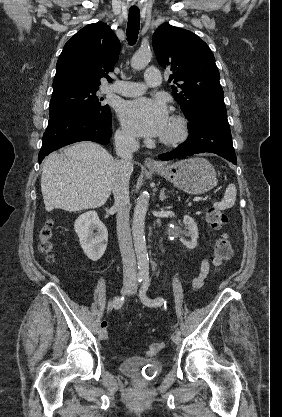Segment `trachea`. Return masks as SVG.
<instances>
[{"instance_id": "obj_1", "label": "trachea", "mask_w": 282, "mask_h": 417, "mask_svg": "<svg viewBox=\"0 0 282 417\" xmlns=\"http://www.w3.org/2000/svg\"><path fill=\"white\" fill-rule=\"evenodd\" d=\"M140 28V13L139 10H130L128 13V25L126 30L127 41L130 45L135 44L138 39Z\"/></svg>"}]
</instances>
